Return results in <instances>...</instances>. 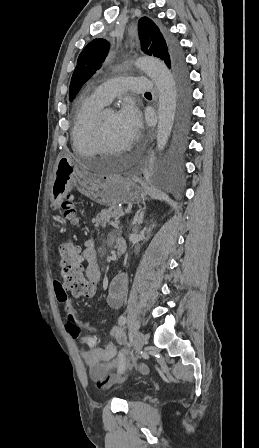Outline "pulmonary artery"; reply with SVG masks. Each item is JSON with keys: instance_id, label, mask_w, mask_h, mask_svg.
I'll return each instance as SVG.
<instances>
[{"instance_id": "1", "label": "pulmonary artery", "mask_w": 259, "mask_h": 448, "mask_svg": "<svg viewBox=\"0 0 259 448\" xmlns=\"http://www.w3.org/2000/svg\"><path fill=\"white\" fill-rule=\"evenodd\" d=\"M132 79H133L132 77H126V76L117 77L109 82L99 85L95 89V93H96L97 97L102 102H104L105 104H108L122 90V88L113 85V83L118 80L125 81V80H132Z\"/></svg>"}]
</instances>
